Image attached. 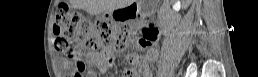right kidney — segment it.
<instances>
[{
  "label": "right kidney",
  "instance_id": "ca27d5eb",
  "mask_svg": "<svg viewBox=\"0 0 258 77\" xmlns=\"http://www.w3.org/2000/svg\"><path fill=\"white\" fill-rule=\"evenodd\" d=\"M182 2H183L184 7H187L189 5V2H191V0H182ZM168 4L169 3H167V5ZM175 5H180V4L177 2ZM168 12H169L168 6L162 7L160 10L161 15H165Z\"/></svg>",
  "mask_w": 258,
  "mask_h": 77
}]
</instances>
